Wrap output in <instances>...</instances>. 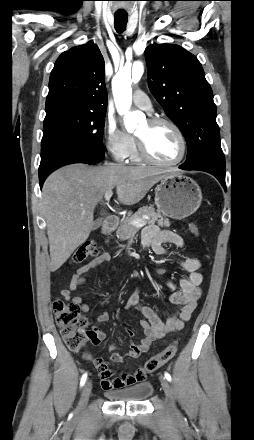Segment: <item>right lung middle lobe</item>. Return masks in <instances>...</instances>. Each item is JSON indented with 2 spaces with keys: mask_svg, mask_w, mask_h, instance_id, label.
<instances>
[{
  "mask_svg": "<svg viewBox=\"0 0 254 440\" xmlns=\"http://www.w3.org/2000/svg\"><path fill=\"white\" fill-rule=\"evenodd\" d=\"M106 111L71 105L46 109L39 178L71 163H97L105 154L103 131Z\"/></svg>",
  "mask_w": 254,
  "mask_h": 440,
  "instance_id": "right-lung-middle-lobe-1",
  "label": "right lung middle lobe"
}]
</instances>
